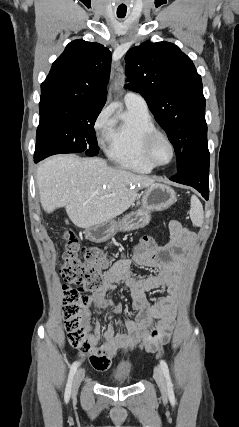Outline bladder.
Instances as JSON below:
<instances>
[{"label": "bladder", "mask_w": 239, "mask_h": 427, "mask_svg": "<svg viewBox=\"0 0 239 427\" xmlns=\"http://www.w3.org/2000/svg\"><path fill=\"white\" fill-rule=\"evenodd\" d=\"M132 376L131 369L123 368L110 375L109 381L114 385H127L131 382Z\"/></svg>", "instance_id": "31cf9c89"}]
</instances>
